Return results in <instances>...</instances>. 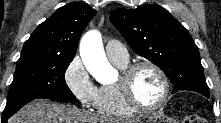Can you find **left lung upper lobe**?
Instances as JSON below:
<instances>
[{
	"label": "left lung upper lobe",
	"mask_w": 221,
	"mask_h": 123,
	"mask_svg": "<svg viewBox=\"0 0 221 123\" xmlns=\"http://www.w3.org/2000/svg\"><path fill=\"white\" fill-rule=\"evenodd\" d=\"M110 20L134 52L163 70L174 85L173 93L191 90L209 95L198 47L166 9L157 4L117 9Z\"/></svg>",
	"instance_id": "5c2ea615"
}]
</instances>
